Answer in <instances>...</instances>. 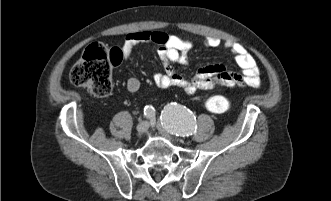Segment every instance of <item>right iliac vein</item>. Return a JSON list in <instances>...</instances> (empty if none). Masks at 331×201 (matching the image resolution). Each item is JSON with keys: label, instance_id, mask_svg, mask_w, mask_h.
<instances>
[{"label": "right iliac vein", "instance_id": "1", "mask_svg": "<svg viewBox=\"0 0 331 201\" xmlns=\"http://www.w3.org/2000/svg\"><path fill=\"white\" fill-rule=\"evenodd\" d=\"M148 126H149V124L146 121H143V122L139 123L138 126H137L138 133L139 134L145 133L146 130L148 129Z\"/></svg>", "mask_w": 331, "mask_h": 201}]
</instances>
